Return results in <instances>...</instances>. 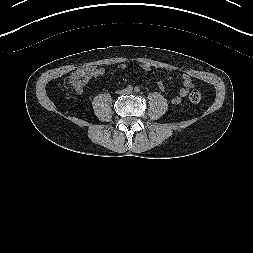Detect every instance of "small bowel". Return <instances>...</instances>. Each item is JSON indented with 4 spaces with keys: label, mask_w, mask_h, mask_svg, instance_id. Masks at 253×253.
<instances>
[{
    "label": "small bowel",
    "mask_w": 253,
    "mask_h": 253,
    "mask_svg": "<svg viewBox=\"0 0 253 253\" xmlns=\"http://www.w3.org/2000/svg\"><path fill=\"white\" fill-rule=\"evenodd\" d=\"M123 66V65H121ZM103 74V70L102 69H96L94 70V75H102ZM193 87V82L191 80V77L188 74H183L182 75V88L180 90L179 96H176L173 98V102L177 103L180 100V97H184L187 95V93L189 92V90ZM76 92L81 93L82 92V88H78L76 89Z\"/></svg>",
    "instance_id": "small-bowel-1"
}]
</instances>
